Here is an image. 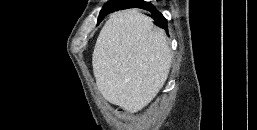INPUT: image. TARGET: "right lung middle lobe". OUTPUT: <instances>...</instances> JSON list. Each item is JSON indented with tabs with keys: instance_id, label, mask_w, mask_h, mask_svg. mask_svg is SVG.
<instances>
[{
	"instance_id": "1",
	"label": "right lung middle lobe",
	"mask_w": 257,
	"mask_h": 130,
	"mask_svg": "<svg viewBox=\"0 0 257 130\" xmlns=\"http://www.w3.org/2000/svg\"><path fill=\"white\" fill-rule=\"evenodd\" d=\"M126 0H111L108 3L105 4V6L102 8L100 15L98 17V22L108 13L112 11H116L119 8L125 6Z\"/></svg>"
}]
</instances>
